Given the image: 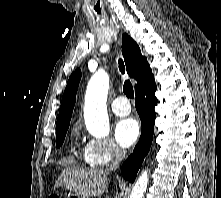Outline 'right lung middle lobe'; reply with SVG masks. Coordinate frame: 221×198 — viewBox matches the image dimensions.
Wrapping results in <instances>:
<instances>
[{
    "label": "right lung middle lobe",
    "instance_id": "1",
    "mask_svg": "<svg viewBox=\"0 0 221 198\" xmlns=\"http://www.w3.org/2000/svg\"><path fill=\"white\" fill-rule=\"evenodd\" d=\"M67 130H68V127H65L59 131H56V147L57 148H59L63 144Z\"/></svg>",
    "mask_w": 221,
    "mask_h": 198
}]
</instances>
